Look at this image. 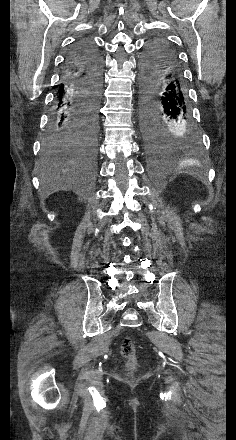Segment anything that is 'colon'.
<instances>
[{
  "instance_id": "5ec220e1",
  "label": "colon",
  "mask_w": 236,
  "mask_h": 440,
  "mask_svg": "<svg viewBox=\"0 0 236 440\" xmlns=\"http://www.w3.org/2000/svg\"><path fill=\"white\" fill-rule=\"evenodd\" d=\"M123 354L133 363L134 348L130 340H126L123 344Z\"/></svg>"
}]
</instances>
